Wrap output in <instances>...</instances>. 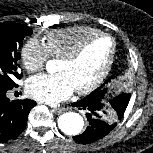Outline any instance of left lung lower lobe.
<instances>
[{"mask_svg": "<svg viewBox=\"0 0 153 153\" xmlns=\"http://www.w3.org/2000/svg\"><path fill=\"white\" fill-rule=\"evenodd\" d=\"M72 106L88 111L86 115L89 125L82 134L73 137L76 142L85 144L95 142L103 138L116 127L114 123L109 122L108 119L105 118L104 113L106 106L101 100L88 99L85 97L73 103Z\"/></svg>", "mask_w": 153, "mask_h": 153, "instance_id": "0a47b994", "label": "left lung lower lobe"}]
</instances>
